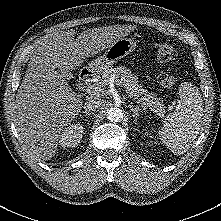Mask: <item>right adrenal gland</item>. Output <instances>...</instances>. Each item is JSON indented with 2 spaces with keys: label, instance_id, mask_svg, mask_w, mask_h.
I'll list each match as a JSON object with an SVG mask.
<instances>
[{
  "label": "right adrenal gland",
  "instance_id": "obj_1",
  "mask_svg": "<svg viewBox=\"0 0 221 221\" xmlns=\"http://www.w3.org/2000/svg\"><path fill=\"white\" fill-rule=\"evenodd\" d=\"M83 114H85V115H88V116H90V115H93L94 113H89V112H86V111H83L82 112Z\"/></svg>",
  "mask_w": 221,
  "mask_h": 221
}]
</instances>
